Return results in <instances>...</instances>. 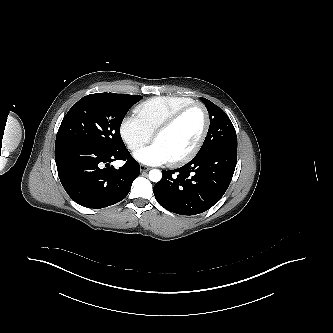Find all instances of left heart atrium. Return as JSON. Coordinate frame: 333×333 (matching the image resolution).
<instances>
[{
    "instance_id": "obj_1",
    "label": "left heart atrium",
    "mask_w": 333,
    "mask_h": 333,
    "mask_svg": "<svg viewBox=\"0 0 333 333\" xmlns=\"http://www.w3.org/2000/svg\"><path fill=\"white\" fill-rule=\"evenodd\" d=\"M134 157L143 164L154 166L164 164L169 161L167 154L156 142L136 151Z\"/></svg>"
}]
</instances>
